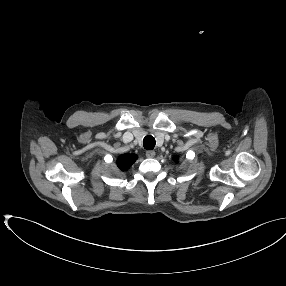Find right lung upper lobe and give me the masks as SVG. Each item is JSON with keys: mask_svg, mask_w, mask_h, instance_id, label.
I'll return each mask as SVG.
<instances>
[{"mask_svg": "<svg viewBox=\"0 0 286 286\" xmlns=\"http://www.w3.org/2000/svg\"><path fill=\"white\" fill-rule=\"evenodd\" d=\"M136 159L137 155L135 154H123L117 159V166L121 171H126L132 166Z\"/></svg>", "mask_w": 286, "mask_h": 286, "instance_id": "obj_1", "label": "right lung upper lobe"}]
</instances>
